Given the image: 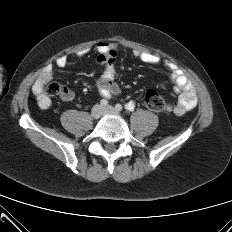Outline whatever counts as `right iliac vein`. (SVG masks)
Wrapping results in <instances>:
<instances>
[{"instance_id": "obj_1", "label": "right iliac vein", "mask_w": 232, "mask_h": 232, "mask_svg": "<svg viewBox=\"0 0 232 232\" xmlns=\"http://www.w3.org/2000/svg\"><path fill=\"white\" fill-rule=\"evenodd\" d=\"M103 114V107L99 104L95 105L91 110V116L94 119H99Z\"/></svg>"}]
</instances>
